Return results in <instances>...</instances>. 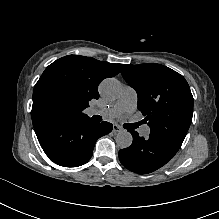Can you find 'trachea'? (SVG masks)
<instances>
[{"mask_svg": "<svg viewBox=\"0 0 219 219\" xmlns=\"http://www.w3.org/2000/svg\"><path fill=\"white\" fill-rule=\"evenodd\" d=\"M92 118L98 122L102 121V117L99 115H94ZM124 127L126 129H135L137 127V124H134V123L133 124H125Z\"/></svg>", "mask_w": 219, "mask_h": 219, "instance_id": "3493384b", "label": "trachea"}]
</instances>
